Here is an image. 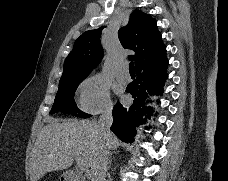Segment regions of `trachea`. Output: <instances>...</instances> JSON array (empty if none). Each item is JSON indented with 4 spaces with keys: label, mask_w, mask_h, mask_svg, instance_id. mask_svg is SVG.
Segmentation results:
<instances>
[{
    "label": "trachea",
    "mask_w": 228,
    "mask_h": 181,
    "mask_svg": "<svg viewBox=\"0 0 228 181\" xmlns=\"http://www.w3.org/2000/svg\"><path fill=\"white\" fill-rule=\"evenodd\" d=\"M129 71H130V72H135V67H134V62H133V61H131V62L129 63Z\"/></svg>",
    "instance_id": "trachea-1"
}]
</instances>
